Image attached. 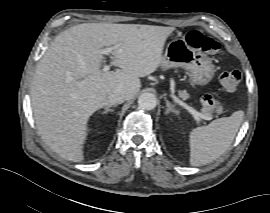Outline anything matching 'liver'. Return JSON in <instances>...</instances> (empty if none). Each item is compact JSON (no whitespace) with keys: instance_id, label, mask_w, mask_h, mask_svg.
Wrapping results in <instances>:
<instances>
[{"instance_id":"6515ba94","label":"liver","mask_w":270,"mask_h":213,"mask_svg":"<svg viewBox=\"0 0 270 213\" xmlns=\"http://www.w3.org/2000/svg\"><path fill=\"white\" fill-rule=\"evenodd\" d=\"M174 27L139 24L84 23L60 33L41 58L31 88L37 129L61 157L84 159L87 123L108 105V95L121 90L127 100L141 88L140 77L161 65L164 44ZM115 47L112 64L102 72L103 47Z\"/></svg>"}]
</instances>
